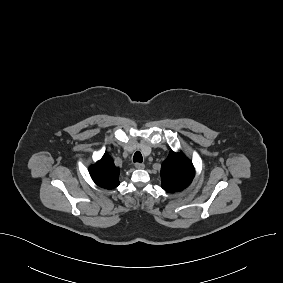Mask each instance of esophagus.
Returning a JSON list of instances; mask_svg holds the SVG:
<instances>
[{
    "label": "esophagus",
    "instance_id": "1",
    "mask_svg": "<svg viewBox=\"0 0 283 283\" xmlns=\"http://www.w3.org/2000/svg\"><path fill=\"white\" fill-rule=\"evenodd\" d=\"M145 167V165L143 163H136L135 164V168L137 169H143Z\"/></svg>",
    "mask_w": 283,
    "mask_h": 283
}]
</instances>
